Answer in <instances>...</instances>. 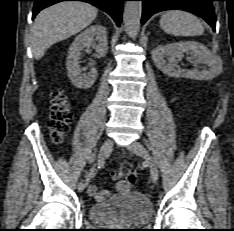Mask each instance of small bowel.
<instances>
[{
	"instance_id": "small-bowel-1",
	"label": "small bowel",
	"mask_w": 234,
	"mask_h": 231,
	"mask_svg": "<svg viewBox=\"0 0 234 231\" xmlns=\"http://www.w3.org/2000/svg\"><path fill=\"white\" fill-rule=\"evenodd\" d=\"M116 190L119 193H127L130 190V185L126 181H119L116 185ZM88 193L97 201H102L109 196L108 191H98V188L95 185H90L88 187Z\"/></svg>"
}]
</instances>
